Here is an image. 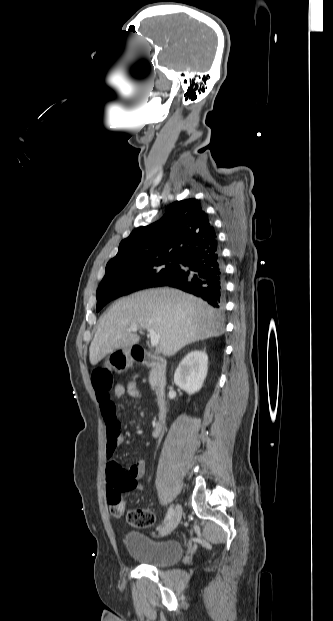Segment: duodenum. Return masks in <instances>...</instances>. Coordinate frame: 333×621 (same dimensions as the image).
Instances as JSON below:
<instances>
[{
    "mask_svg": "<svg viewBox=\"0 0 333 621\" xmlns=\"http://www.w3.org/2000/svg\"><path fill=\"white\" fill-rule=\"evenodd\" d=\"M132 357L135 362L153 369L155 374L156 397L158 400L159 413L153 427V435L158 436L167 420L168 408L165 400L166 389V362L141 348L132 349Z\"/></svg>",
    "mask_w": 333,
    "mask_h": 621,
    "instance_id": "410a0bca",
    "label": "duodenum"
}]
</instances>
